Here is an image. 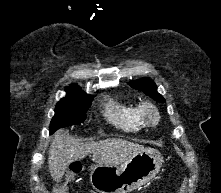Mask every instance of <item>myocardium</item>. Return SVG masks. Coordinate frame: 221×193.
I'll list each match as a JSON object with an SVG mask.
<instances>
[{
    "label": "myocardium",
    "instance_id": "myocardium-1",
    "mask_svg": "<svg viewBox=\"0 0 221 193\" xmlns=\"http://www.w3.org/2000/svg\"><path fill=\"white\" fill-rule=\"evenodd\" d=\"M139 111H140L141 118L147 124L155 125L160 120L159 110L157 106L153 104L152 102H144L140 106Z\"/></svg>",
    "mask_w": 221,
    "mask_h": 193
}]
</instances>
